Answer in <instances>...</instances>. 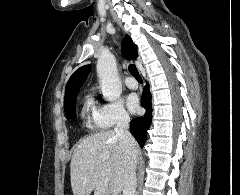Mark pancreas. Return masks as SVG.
<instances>
[{
    "instance_id": "cf45deb5",
    "label": "pancreas",
    "mask_w": 240,
    "mask_h": 195,
    "mask_svg": "<svg viewBox=\"0 0 240 195\" xmlns=\"http://www.w3.org/2000/svg\"><path fill=\"white\" fill-rule=\"evenodd\" d=\"M96 195H99L98 191H96Z\"/></svg>"
}]
</instances>
